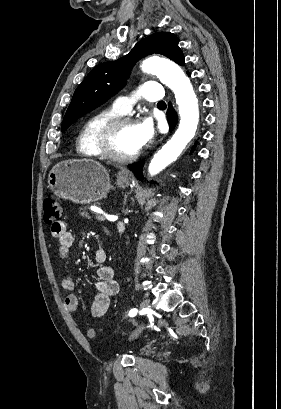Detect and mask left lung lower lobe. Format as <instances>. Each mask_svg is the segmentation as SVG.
Returning <instances> with one entry per match:
<instances>
[{"instance_id":"left-lung-lower-lobe-1","label":"left lung lower lobe","mask_w":281,"mask_h":409,"mask_svg":"<svg viewBox=\"0 0 281 409\" xmlns=\"http://www.w3.org/2000/svg\"><path fill=\"white\" fill-rule=\"evenodd\" d=\"M190 75V73H188ZM169 108L167 110V119L169 122V129L172 131L176 125L177 122V114L175 110L172 108L171 103L168 104ZM194 150V148L192 149ZM142 167H143V162L141 163H136L131 166H129V169L134 172L136 176H138L140 179H142Z\"/></svg>"}]
</instances>
